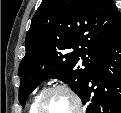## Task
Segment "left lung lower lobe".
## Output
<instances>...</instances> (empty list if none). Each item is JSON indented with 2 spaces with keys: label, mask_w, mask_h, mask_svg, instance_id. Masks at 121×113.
<instances>
[{
  "label": "left lung lower lobe",
  "mask_w": 121,
  "mask_h": 113,
  "mask_svg": "<svg viewBox=\"0 0 121 113\" xmlns=\"http://www.w3.org/2000/svg\"><path fill=\"white\" fill-rule=\"evenodd\" d=\"M87 113H121V22L79 96Z\"/></svg>",
  "instance_id": "1"
}]
</instances>
